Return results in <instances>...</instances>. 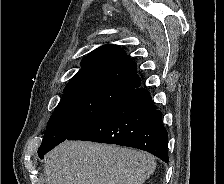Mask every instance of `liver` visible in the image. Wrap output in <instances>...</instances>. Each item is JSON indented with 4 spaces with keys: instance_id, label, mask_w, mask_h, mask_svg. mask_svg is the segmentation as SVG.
<instances>
[{
    "instance_id": "liver-1",
    "label": "liver",
    "mask_w": 224,
    "mask_h": 184,
    "mask_svg": "<svg viewBox=\"0 0 224 184\" xmlns=\"http://www.w3.org/2000/svg\"><path fill=\"white\" fill-rule=\"evenodd\" d=\"M155 169L144 151L84 141H65L44 159L47 184H143Z\"/></svg>"
}]
</instances>
